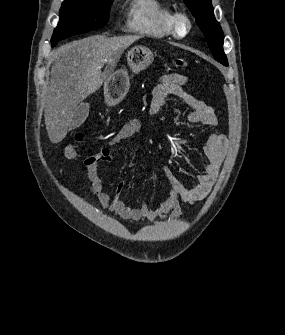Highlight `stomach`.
I'll return each mask as SVG.
<instances>
[{"mask_svg": "<svg viewBox=\"0 0 285 335\" xmlns=\"http://www.w3.org/2000/svg\"><path fill=\"white\" fill-rule=\"evenodd\" d=\"M127 62L129 68L137 74L141 70H146L154 62V54L145 46H135V48L129 50ZM129 88L130 80L125 70H117L114 74H110L104 82V94L107 102L109 104H119L125 98Z\"/></svg>", "mask_w": 285, "mask_h": 335, "instance_id": "obj_1", "label": "stomach"}]
</instances>
